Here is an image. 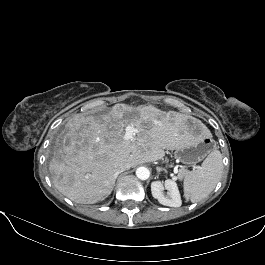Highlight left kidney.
<instances>
[{"instance_id":"obj_1","label":"left kidney","mask_w":265,"mask_h":265,"mask_svg":"<svg viewBox=\"0 0 265 265\" xmlns=\"http://www.w3.org/2000/svg\"><path fill=\"white\" fill-rule=\"evenodd\" d=\"M168 191L167 196H164L163 190ZM151 192L154 198L162 205L169 207H180L182 204L181 196L178 186L174 180L167 179L165 183L161 181H154L151 183Z\"/></svg>"}]
</instances>
